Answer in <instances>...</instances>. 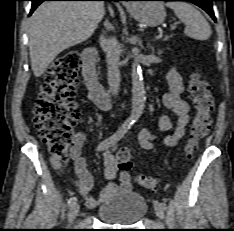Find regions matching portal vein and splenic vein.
Segmentation results:
<instances>
[{"instance_id":"18ae733b","label":"portal vein and splenic vein","mask_w":234,"mask_h":231,"mask_svg":"<svg viewBox=\"0 0 234 231\" xmlns=\"http://www.w3.org/2000/svg\"><path fill=\"white\" fill-rule=\"evenodd\" d=\"M176 29V26L175 25H172L171 26V30H175ZM159 38V37H158Z\"/></svg>"}]
</instances>
